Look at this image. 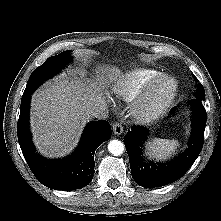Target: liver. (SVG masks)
<instances>
[{
    "label": "liver",
    "instance_id": "obj_1",
    "mask_svg": "<svg viewBox=\"0 0 221 221\" xmlns=\"http://www.w3.org/2000/svg\"><path fill=\"white\" fill-rule=\"evenodd\" d=\"M110 72V79L120 73L116 68ZM105 103L102 86L95 81L61 74L44 83L31 99L30 125L38 151L50 158L69 154L89 121L90 109Z\"/></svg>",
    "mask_w": 221,
    "mask_h": 221
}]
</instances>
